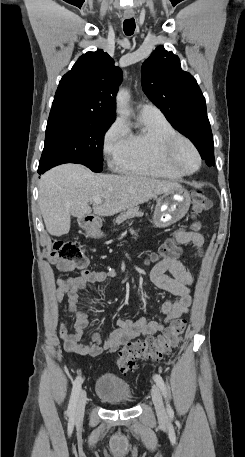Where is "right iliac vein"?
I'll use <instances>...</instances> for the list:
<instances>
[{
	"mask_svg": "<svg viewBox=\"0 0 245 457\" xmlns=\"http://www.w3.org/2000/svg\"><path fill=\"white\" fill-rule=\"evenodd\" d=\"M86 400H87V395H86L85 392H82L80 394L79 399H78L77 404H76V409H75V420H76V422H79V421H81L83 419Z\"/></svg>",
	"mask_w": 245,
	"mask_h": 457,
	"instance_id": "1",
	"label": "right iliac vein"
}]
</instances>
